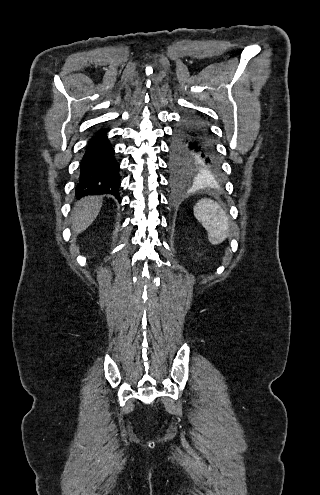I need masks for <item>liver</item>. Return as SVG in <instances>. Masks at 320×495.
<instances>
[{
	"mask_svg": "<svg viewBox=\"0 0 320 495\" xmlns=\"http://www.w3.org/2000/svg\"><path fill=\"white\" fill-rule=\"evenodd\" d=\"M102 196H87L74 205L72 230L74 234L85 231L96 219L102 206Z\"/></svg>",
	"mask_w": 320,
	"mask_h": 495,
	"instance_id": "6515ba94",
	"label": "liver"
}]
</instances>
